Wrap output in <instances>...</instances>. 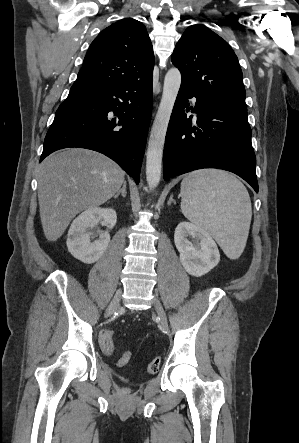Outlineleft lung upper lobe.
Here are the masks:
<instances>
[{
  "label": "left lung upper lobe",
  "mask_w": 299,
  "mask_h": 443,
  "mask_svg": "<svg viewBox=\"0 0 299 443\" xmlns=\"http://www.w3.org/2000/svg\"><path fill=\"white\" fill-rule=\"evenodd\" d=\"M171 60L180 70L183 84L224 106L247 111L238 58L209 28L200 24L188 27Z\"/></svg>",
  "instance_id": "1"
}]
</instances>
